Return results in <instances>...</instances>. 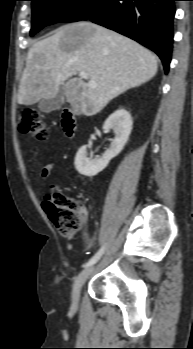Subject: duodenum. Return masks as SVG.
<instances>
[{"instance_id":"1","label":"duodenum","mask_w":193,"mask_h":349,"mask_svg":"<svg viewBox=\"0 0 193 349\" xmlns=\"http://www.w3.org/2000/svg\"><path fill=\"white\" fill-rule=\"evenodd\" d=\"M62 127L67 136L71 137L76 132V122L71 111H65L62 116Z\"/></svg>"}]
</instances>
